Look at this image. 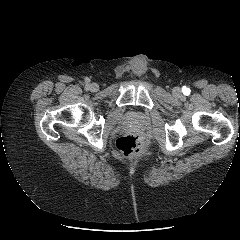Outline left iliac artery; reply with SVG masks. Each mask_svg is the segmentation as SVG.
<instances>
[{
  "label": "left iliac artery",
  "mask_w": 240,
  "mask_h": 240,
  "mask_svg": "<svg viewBox=\"0 0 240 240\" xmlns=\"http://www.w3.org/2000/svg\"><path fill=\"white\" fill-rule=\"evenodd\" d=\"M184 94L188 95L189 94V89L184 88Z\"/></svg>",
  "instance_id": "obj_1"
}]
</instances>
